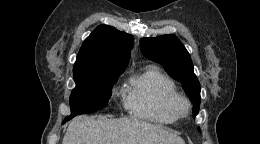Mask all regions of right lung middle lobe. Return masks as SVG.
Instances as JSON below:
<instances>
[{
	"label": "right lung middle lobe",
	"instance_id": "dd1d6c3e",
	"mask_svg": "<svg viewBox=\"0 0 260 144\" xmlns=\"http://www.w3.org/2000/svg\"><path fill=\"white\" fill-rule=\"evenodd\" d=\"M124 70L74 75L76 88L70 95L71 115L63 123L79 114L95 112L107 106L111 89Z\"/></svg>",
	"mask_w": 260,
	"mask_h": 144
}]
</instances>
